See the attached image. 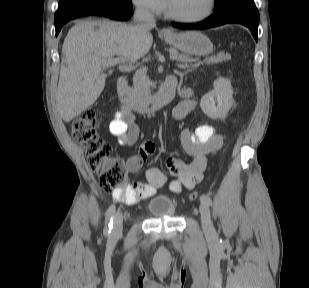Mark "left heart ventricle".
<instances>
[{
  "mask_svg": "<svg viewBox=\"0 0 309 288\" xmlns=\"http://www.w3.org/2000/svg\"><path fill=\"white\" fill-rule=\"evenodd\" d=\"M171 10L184 17H196L208 9V0H167Z\"/></svg>",
  "mask_w": 309,
  "mask_h": 288,
  "instance_id": "left-heart-ventricle-1",
  "label": "left heart ventricle"
}]
</instances>
